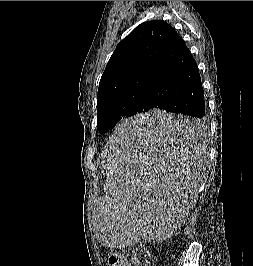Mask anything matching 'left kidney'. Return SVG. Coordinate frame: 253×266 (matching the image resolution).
Instances as JSON below:
<instances>
[{
	"mask_svg": "<svg viewBox=\"0 0 253 266\" xmlns=\"http://www.w3.org/2000/svg\"><path fill=\"white\" fill-rule=\"evenodd\" d=\"M189 204H191V202H187L186 204H185V206H187V209L189 208Z\"/></svg>",
	"mask_w": 253,
	"mask_h": 266,
	"instance_id": "5707ae66",
	"label": "left kidney"
}]
</instances>
